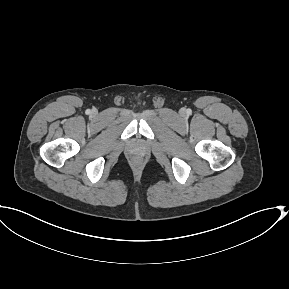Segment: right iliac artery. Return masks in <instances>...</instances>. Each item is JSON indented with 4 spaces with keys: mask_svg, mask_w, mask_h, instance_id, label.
Masks as SVG:
<instances>
[{
    "mask_svg": "<svg viewBox=\"0 0 289 289\" xmlns=\"http://www.w3.org/2000/svg\"><path fill=\"white\" fill-rule=\"evenodd\" d=\"M86 113L89 114V113H90V110H87Z\"/></svg>",
    "mask_w": 289,
    "mask_h": 289,
    "instance_id": "82829eb1",
    "label": "right iliac artery"
}]
</instances>
